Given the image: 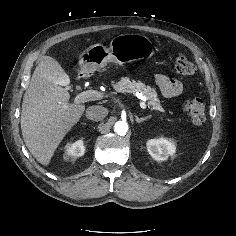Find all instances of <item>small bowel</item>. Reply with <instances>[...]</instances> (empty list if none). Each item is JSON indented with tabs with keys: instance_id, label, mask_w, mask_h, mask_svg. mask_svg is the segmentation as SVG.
<instances>
[{
	"instance_id": "obj_1",
	"label": "small bowel",
	"mask_w": 236,
	"mask_h": 236,
	"mask_svg": "<svg viewBox=\"0 0 236 236\" xmlns=\"http://www.w3.org/2000/svg\"><path fill=\"white\" fill-rule=\"evenodd\" d=\"M155 81L163 94L167 98L176 97L182 92V85L175 79H171L163 74H157Z\"/></svg>"
}]
</instances>
